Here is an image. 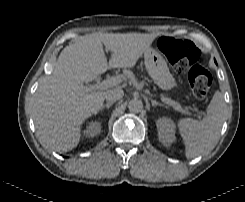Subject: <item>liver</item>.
<instances>
[{
	"instance_id": "obj_1",
	"label": "liver",
	"mask_w": 245,
	"mask_h": 202,
	"mask_svg": "<svg viewBox=\"0 0 245 202\" xmlns=\"http://www.w3.org/2000/svg\"><path fill=\"white\" fill-rule=\"evenodd\" d=\"M156 36L92 33L66 46L35 93L33 118L40 141L57 152L75 148L83 122L99 111L107 93L86 92L83 83L92 82L109 68L134 67ZM103 45L113 52L109 64Z\"/></svg>"
}]
</instances>
